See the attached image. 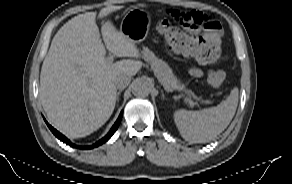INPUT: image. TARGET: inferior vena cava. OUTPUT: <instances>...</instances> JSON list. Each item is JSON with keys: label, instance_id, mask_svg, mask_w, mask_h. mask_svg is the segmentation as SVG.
Returning a JSON list of instances; mask_svg holds the SVG:
<instances>
[{"label": "inferior vena cava", "instance_id": "inferior-vena-cava-1", "mask_svg": "<svg viewBox=\"0 0 292 184\" xmlns=\"http://www.w3.org/2000/svg\"><path fill=\"white\" fill-rule=\"evenodd\" d=\"M130 81H131V76H128L126 74H122L116 78L115 86L117 89L122 90L129 85Z\"/></svg>", "mask_w": 292, "mask_h": 184}]
</instances>
